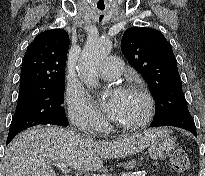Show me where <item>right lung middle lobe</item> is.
Segmentation results:
<instances>
[{"label":"right lung middle lobe","instance_id":"right-lung-middle-lobe-1","mask_svg":"<svg viewBox=\"0 0 205 176\" xmlns=\"http://www.w3.org/2000/svg\"><path fill=\"white\" fill-rule=\"evenodd\" d=\"M64 85L65 83L19 95L7 141H11L19 132L32 126H67L68 121L61 106Z\"/></svg>","mask_w":205,"mask_h":176}]
</instances>
